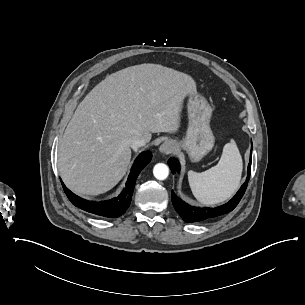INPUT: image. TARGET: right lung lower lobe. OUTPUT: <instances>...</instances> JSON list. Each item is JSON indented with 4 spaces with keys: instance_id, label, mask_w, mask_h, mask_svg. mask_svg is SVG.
I'll use <instances>...</instances> for the list:
<instances>
[{
    "instance_id": "98d812e1",
    "label": "right lung lower lobe",
    "mask_w": 305,
    "mask_h": 305,
    "mask_svg": "<svg viewBox=\"0 0 305 305\" xmlns=\"http://www.w3.org/2000/svg\"><path fill=\"white\" fill-rule=\"evenodd\" d=\"M152 154L150 151L141 153L135 160L126 187L122 193L111 200L101 202H90L72 193L62 183L64 191L73 205L93 214L105 217H119L125 213L130 205L135 182L140 171L150 162Z\"/></svg>"
}]
</instances>
